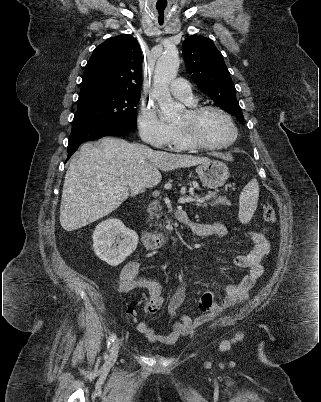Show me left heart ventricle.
Here are the masks:
<instances>
[{
	"instance_id": "left-heart-ventricle-1",
	"label": "left heart ventricle",
	"mask_w": 321,
	"mask_h": 402,
	"mask_svg": "<svg viewBox=\"0 0 321 402\" xmlns=\"http://www.w3.org/2000/svg\"><path fill=\"white\" fill-rule=\"evenodd\" d=\"M181 126H192L196 135L208 144H220L232 137V128L227 119L220 113L209 110L197 118H192L185 111L176 123Z\"/></svg>"
}]
</instances>
